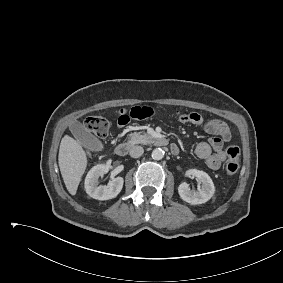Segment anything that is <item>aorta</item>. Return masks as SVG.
Here are the masks:
<instances>
[{
  "mask_svg": "<svg viewBox=\"0 0 283 283\" xmlns=\"http://www.w3.org/2000/svg\"><path fill=\"white\" fill-rule=\"evenodd\" d=\"M164 157V151L161 148H155L152 151V158L154 160H161Z\"/></svg>",
  "mask_w": 283,
  "mask_h": 283,
  "instance_id": "1",
  "label": "aorta"
}]
</instances>
